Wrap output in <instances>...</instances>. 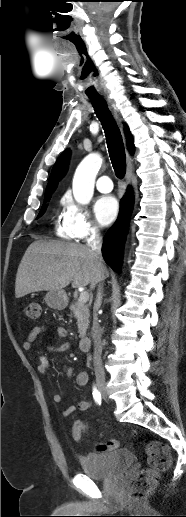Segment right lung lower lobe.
Segmentation results:
<instances>
[{"label": "right lung lower lobe", "instance_id": "obj_1", "mask_svg": "<svg viewBox=\"0 0 186 517\" xmlns=\"http://www.w3.org/2000/svg\"><path fill=\"white\" fill-rule=\"evenodd\" d=\"M133 207V195L130 190L121 201L120 215L115 225L104 237L102 255L106 263L115 271L120 272L123 248L128 233L129 215Z\"/></svg>", "mask_w": 186, "mask_h": 517}]
</instances>
